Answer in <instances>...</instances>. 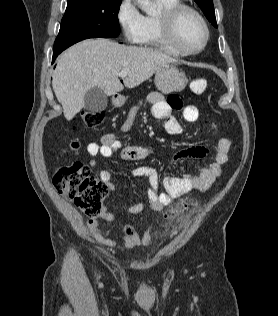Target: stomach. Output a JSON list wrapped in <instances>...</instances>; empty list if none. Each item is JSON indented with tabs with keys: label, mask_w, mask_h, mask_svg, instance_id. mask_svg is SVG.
<instances>
[{
	"label": "stomach",
	"mask_w": 278,
	"mask_h": 316,
	"mask_svg": "<svg viewBox=\"0 0 278 316\" xmlns=\"http://www.w3.org/2000/svg\"><path fill=\"white\" fill-rule=\"evenodd\" d=\"M187 81L185 73L174 64L162 66L155 74V85L164 94L182 91L186 87ZM112 101L116 107H120L125 103L126 98L117 96Z\"/></svg>",
	"instance_id": "obj_1"
}]
</instances>
